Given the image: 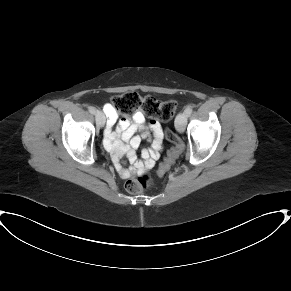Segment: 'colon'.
<instances>
[{
  "label": "colon",
  "instance_id": "5ec220e1",
  "mask_svg": "<svg viewBox=\"0 0 291 291\" xmlns=\"http://www.w3.org/2000/svg\"><path fill=\"white\" fill-rule=\"evenodd\" d=\"M112 106L122 112L141 111L152 120L168 121L176 113L177 103L175 101H159L152 95L140 96L136 92H126L116 95L112 98ZM165 135L168 140L175 141L177 136L172 130H166ZM169 169V164L163 162L160 164L157 172L162 175ZM152 185V179L149 175H142L136 179H130L125 183L128 192L139 194L145 192Z\"/></svg>",
  "mask_w": 291,
  "mask_h": 291
}]
</instances>
